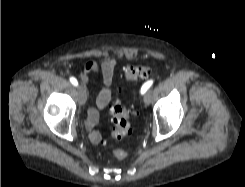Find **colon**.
<instances>
[{"label":"colon","mask_w":245,"mask_h":187,"mask_svg":"<svg viewBox=\"0 0 245 187\" xmlns=\"http://www.w3.org/2000/svg\"><path fill=\"white\" fill-rule=\"evenodd\" d=\"M151 72V67L146 64L132 65L125 69L124 77L126 79H137L144 78ZM111 114V131L112 135L116 139H124L131 133L130 117L131 112L126 108V106L120 102L116 101L110 107ZM114 156L117 159H123L126 156V152L121 149L114 151Z\"/></svg>","instance_id":"5ec220e1"}]
</instances>
